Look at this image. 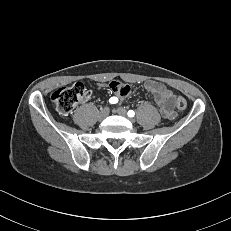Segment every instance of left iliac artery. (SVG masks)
<instances>
[{"mask_svg":"<svg viewBox=\"0 0 231 231\" xmlns=\"http://www.w3.org/2000/svg\"><path fill=\"white\" fill-rule=\"evenodd\" d=\"M134 115H135V113H134L133 110H129V111H128V116H129V117H134Z\"/></svg>","mask_w":231,"mask_h":231,"instance_id":"44dca946","label":"left iliac artery"}]
</instances>
